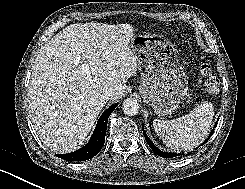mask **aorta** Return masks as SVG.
Listing matches in <instances>:
<instances>
[{
    "label": "aorta",
    "instance_id": "762f6f07",
    "mask_svg": "<svg viewBox=\"0 0 245 189\" xmlns=\"http://www.w3.org/2000/svg\"><path fill=\"white\" fill-rule=\"evenodd\" d=\"M122 110L126 115H136L139 112V104L136 99L127 98L123 101Z\"/></svg>",
    "mask_w": 245,
    "mask_h": 189
}]
</instances>
